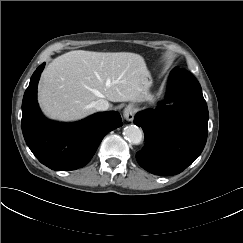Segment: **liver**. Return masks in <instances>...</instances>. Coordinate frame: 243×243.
Returning a JSON list of instances; mask_svg holds the SVG:
<instances>
[{"label": "liver", "instance_id": "1", "mask_svg": "<svg viewBox=\"0 0 243 243\" xmlns=\"http://www.w3.org/2000/svg\"><path fill=\"white\" fill-rule=\"evenodd\" d=\"M147 72L139 54L70 51L55 58L44 70L38 100L48 117L77 121L92 115L94 102L99 99L137 100L140 79Z\"/></svg>", "mask_w": 243, "mask_h": 243}]
</instances>
